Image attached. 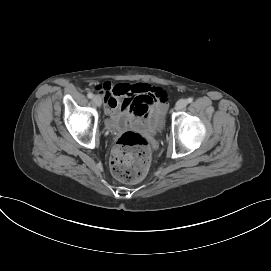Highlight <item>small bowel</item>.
<instances>
[{
  "label": "small bowel",
  "instance_id": "c3829d8e",
  "mask_svg": "<svg viewBox=\"0 0 271 271\" xmlns=\"http://www.w3.org/2000/svg\"><path fill=\"white\" fill-rule=\"evenodd\" d=\"M99 94L105 101V111L109 116L107 125L111 128L157 120L166 108V92L146 83L105 82L99 86Z\"/></svg>",
  "mask_w": 271,
  "mask_h": 271
}]
</instances>
